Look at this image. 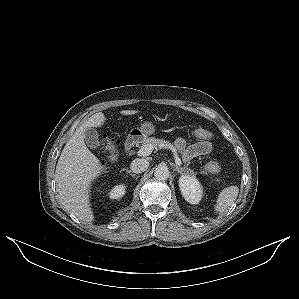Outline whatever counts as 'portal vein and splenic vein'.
<instances>
[{
  "instance_id": "portal-vein-and-splenic-vein-1",
  "label": "portal vein and splenic vein",
  "mask_w": 299,
  "mask_h": 299,
  "mask_svg": "<svg viewBox=\"0 0 299 299\" xmlns=\"http://www.w3.org/2000/svg\"><path fill=\"white\" fill-rule=\"evenodd\" d=\"M153 147L151 145H146L145 147H142L139 151H138V155L139 156H149L151 154V152L153 151ZM174 159L177 165H181V159L178 157L177 154L174 155Z\"/></svg>"
}]
</instances>
